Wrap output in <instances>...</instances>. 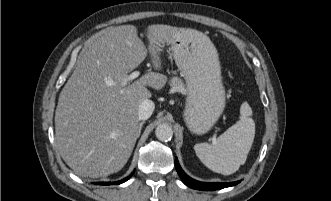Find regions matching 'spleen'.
Instances as JSON below:
<instances>
[{"instance_id":"obj_1","label":"spleen","mask_w":331,"mask_h":201,"mask_svg":"<svg viewBox=\"0 0 331 201\" xmlns=\"http://www.w3.org/2000/svg\"><path fill=\"white\" fill-rule=\"evenodd\" d=\"M239 121L229 127L213 144L198 143L194 150L202 163L216 173L230 175L246 162L255 137V122L247 102L240 107Z\"/></svg>"}]
</instances>
